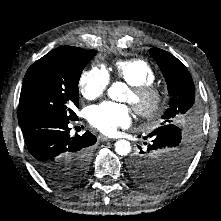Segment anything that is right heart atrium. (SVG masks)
Segmentation results:
<instances>
[{
  "label": "right heart atrium",
  "instance_id": "d8ad5b80",
  "mask_svg": "<svg viewBox=\"0 0 221 221\" xmlns=\"http://www.w3.org/2000/svg\"><path fill=\"white\" fill-rule=\"evenodd\" d=\"M110 83L108 71L95 66L82 73L79 80L81 94L88 100L96 99L104 94Z\"/></svg>",
  "mask_w": 221,
  "mask_h": 221
}]
</instances>
